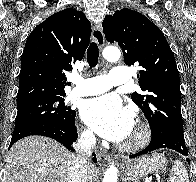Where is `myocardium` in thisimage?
I'll return each instance as SVG.
<instances>
[{
  "instance_id": "f54148a6",
  "label": "myocardium",
  "mask_w": 196,
  "mask_h": 182,
  "mask_svg": "<svg viewBox=\"0 0 196 182\" xmlns=\"http://www.w3.org/2000/svg\"><path fill=\"white\" fill-rule=\"evenodd\" d=\"M150 137L151 132L148 125L143 121H137L134 138L121 144L120 148L124 151H138L148 144Z\"/></svg>"
}]
</instances>
